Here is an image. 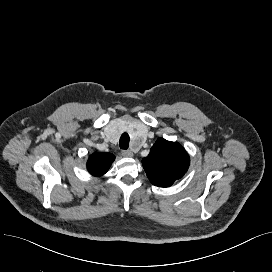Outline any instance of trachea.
I'll use <instances>...</instances> for the list:
<instances>
[{
  "label": "trachea",
  "mask_w": 272,
  "mask_h": 272,
  "mask_svg": "<svg viewBox=\"0 0 272 272\" xmlns=\"http://www.w3.org/2000/svg\"><path fill=\"white\" fill-rule=\"evenodd\" d=\"M129 141H130V137L127 133H123L120 137V141H119V144H120V148L121 149H128L129 147Z\"/></svg>",
  "instance_id": "trachea-1"
}]
</instances>
